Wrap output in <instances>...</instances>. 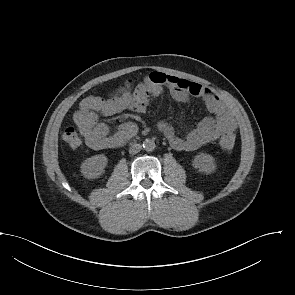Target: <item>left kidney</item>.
<instances>
[{"mask_svg": "<svg viewBox=\"0 0 295 295\" xmlns=\"http://www.w3.org/2000/svg\"><path fill=\"white\" fill-rule=\"evenodd\" d=\"M193 167L200 172L210 174L216 170L215 159L206 153H200L195 156L193 160Z\"/></svg>", "mask_w": 295, "mask_h": 295, "instance_id": "1", "label": "left kidney"}]
</instances>
